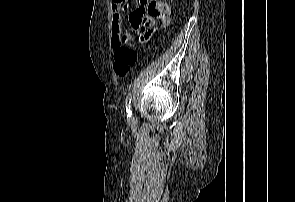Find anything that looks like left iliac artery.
Instances as JSON below:
<instances>
[{"mask_svg":"<svg viewBox=\"0 0 295 202\" xmlns=\"http://www.w3.org/2000/svg\"><path fill=\"white\" fill-rule=\"evenodd\" d=\"M131 101H132V94H131V92H129L126 96V99H125L127 118L132 117Z\"/></svg>","mask_w":295,"mask_h":202,"instance_id":"44dca946","label":"left iliac artery"}]
</instances>
